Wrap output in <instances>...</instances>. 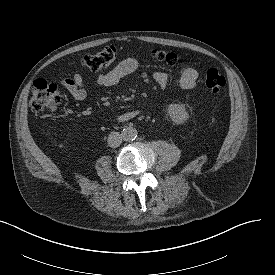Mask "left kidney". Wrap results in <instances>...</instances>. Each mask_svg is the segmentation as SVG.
Here are the masks:
<instances>
[{
  "mask_svg": "<svg viewBox=\"0 0 275 275\" xmlns=\"http://www.w3.org/2000/svg\"><path fill=\"white\" fill-rule=\"evenodd\" d=\"M167 112L172 121L176 124H182L189 118V114L182 104H170Z\"/></svg>",
  "mask_w": 275,
  "mask_h": 275,
  "instance_id": "5707ae66",
  "label": "left kidney"
}]
</instances>
